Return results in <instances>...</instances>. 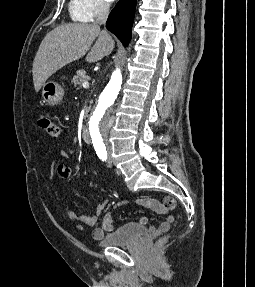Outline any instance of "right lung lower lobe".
<instances>
[{"instance_id":"98d812e1","label":"right lung lower lobe","mask_w":255,"mask_h":287,"mask_svg":"<svg viewBox=\"0 0 255 287\" xmlns=\"http://www.w3.org/2000/svg\"><path fill=\"white\" fill-rule=\"evenodd\" d=\"M135 8L136 0H119L106 22V28L115 34L125 47L131 39Z\"/></svg>"}]
</instances>
